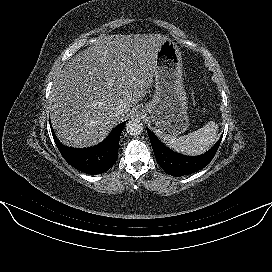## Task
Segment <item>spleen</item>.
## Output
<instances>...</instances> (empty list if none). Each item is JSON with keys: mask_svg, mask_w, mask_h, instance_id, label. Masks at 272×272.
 Wrapping results in <instances>:
<instances>
[{"mask_svg": "<svg viewBox=\"0 0 272 272\" xmlns=\"http://www.w3.org/2000/svg\"><path fill=\"white\" fill-rule=\"evenodd\" d=\"M218 125L210 121L202 128L186 136H164V143L177 152L186 155H199L208 150L216 141Z\"/></svg>", "mask_w": 272, "mask_h": 272, "instance_id": "obj_1", "label": "spleen"}]
</instances>
